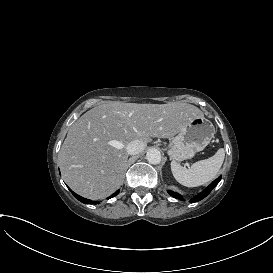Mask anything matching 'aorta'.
<instances>
[{
  "mask_svg": "<svg viewBox=\"0 0 273 273\" xmlns=\"http://www.w3.org/2000/svg\"><path fill=\"white\" fill-rule=\"evenodd\" d=\"M146 158L150 164H159L161 162V153L155 148H151L147 151Z\"/></svg>",
  "mask_w": 273,
  "mask_h": 273,
  "instance_id": "1",
  "label": "aorta"
}]
</instances>
